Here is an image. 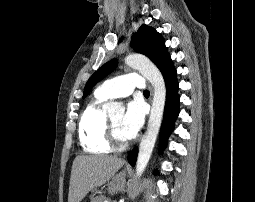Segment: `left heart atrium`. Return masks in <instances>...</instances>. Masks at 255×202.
<instances>
[{
	"label": "left heart atrium",
	"mask_w": 255,
	"mask_h": 202,
	"mask_svg": "<svg viewBox=\"0 0 255 202\" xmlns=\"http://www.w3.org/2000/svg\"><path fill=\"white\" fill-rule=\"evenodd\" d=\"M145 118L144 106L140 101L134 100L128 103L123 117V128L132 138L142 128Z\"/></svg>",
	"instance_id": "1"
}]
</instances>
